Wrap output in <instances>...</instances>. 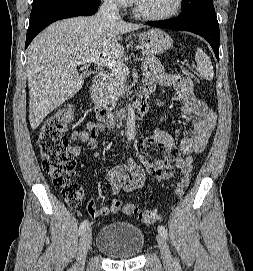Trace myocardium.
<instances>
[{
    "instance_id": "f54148a6",
    "label": "myocardium",
    "mask_w": 253,
    "mask_h": 271,
    "mask_svg": "<svg viewBox=\"0 0 253 271\" xmlns=\"http://www.w3.org/2000/svg\"><path fill=\"white\" fill-rule=\"evenodd\" d=\"M132 1H133L135 13L139 17H142L150 21H166V20H170L174 18L181 12L183 8V3H184V0H176L175 7L172 11L163 15H154V14H149L145 12L139 3V0H132Z\"/></svg>"
}]
</instances>
